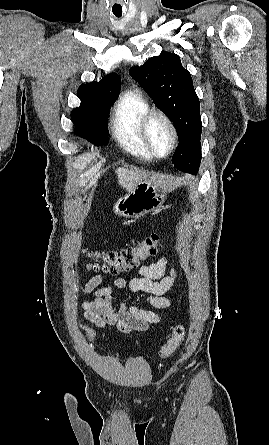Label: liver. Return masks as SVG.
Here are the masks:
<instances>
[{
  "label": "liver",
  "instance_id": "6515ba94",
  "mask_svg": "<svg viewBox=\"0 0 269 445\" xmlns=\"http://www.w3.org/2000/svg\"><path fill=\"white\" fill-rule=\"evenodd\" d=\"M115 172L118 177V184L129 192L146 176L144 170H127L125 168H118Z\"/></svg>",
  "mask_w": 269,
  "mask_h": 445
}]
</instances>
